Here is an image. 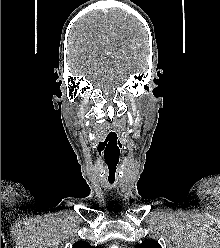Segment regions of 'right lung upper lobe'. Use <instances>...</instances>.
Listing matches in <instances>:
<instances>
[{
    "instance_id": "cb5924a9",
    "label": "right lung upper lobe",
    "mask_w": 220,
    "mask_h": 248,
    "mask_svg": "<svg viewBox=\"0 0 220 248\" xmlns=\"http://www.w3.org/2000/svg\"><path fill=\"white\" fill-rule=\"evenodd\" d=\"M72 248H99V247H93L84 241H79V242H76Z\"/></svg>"
}]
</instances>
